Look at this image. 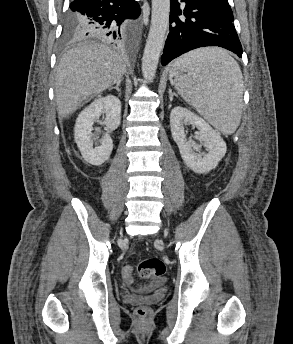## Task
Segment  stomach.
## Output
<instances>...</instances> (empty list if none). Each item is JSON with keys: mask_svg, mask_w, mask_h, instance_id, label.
Returning a JSON list of instances; mask_svg holds the SVG:
<instances>
[{"mask_svg": "<svg viewBox=\"0 0 293 344\" xmlns=\"http://www.w3.org/2000/svg\"><path fill=\"white\" fill-rule=\"evenodd\" d=\"M181 75V71L174 65L173 68L170 70L169 77L170 79L177 78Z\"/></svg>", "mask_w": 293, "mask_h": 344, "instance_id": "stomach-1", "label": "stomach"}]
</instances>
